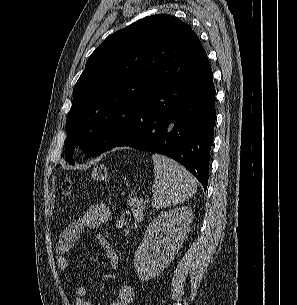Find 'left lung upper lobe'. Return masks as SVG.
<instances>
[{
  "instance_id": "obj_1",
  "label": "left lung upper lobe",
  "mask_w": 297,
  "mask_h": 305,
  "mask_svg": "<svg viewBox=\"0 0 297 305\" xmlns=\"http://www.w3.org/2000/svg\"><path fill=\"white\" fill-rule=\"evenodd\" d=\"M209 65L191 27L166 14L145 17L112 34L90 55L73 90L65 154H100L140 103L166 81Z\"/></svg>"
}]
</instances>
